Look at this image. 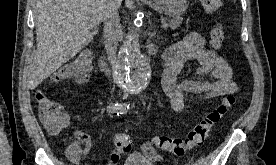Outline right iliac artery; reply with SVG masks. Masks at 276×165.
<instances>
[{"label": "right iliac artery", "instance_id": "82829eb1", "mask_svg": "<svg viewBox=\"0 0 276 165\" xmlns=\"http://www.w3.org/2000/svg\"><path fill=\"white\" fill-rule=\"evenodd\" d=\"M129 108H130L129 105L117 103V104L109 105L107 108V111L112 114L122 115L126 113Z\"/></svg>", "mask_w": 276, "mask_h": 165}]
</instances>
